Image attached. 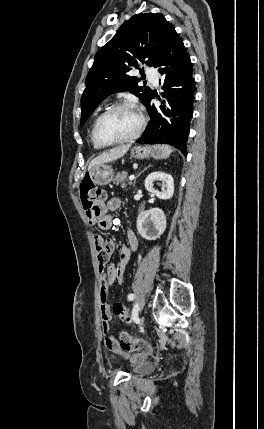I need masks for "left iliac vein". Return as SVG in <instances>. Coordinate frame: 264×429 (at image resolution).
Wrapping results in <instances>:
<instances>
[{"label": "left iliac vein", "mask_w": 264, "mask_h": 429, "mask_svg": "<svg viewBox=\"0 0 264 429\" xmlns=\"http://www.w3.org/2000/svg\"><path fill=\"white\" fill-rule=\"evenodd\" d=\"M139 321H140V325L142 326L143 324H144V322H145V319H144V316L141 314L140 316H139Z\"/></svg>", "instance_id": "1"}]
</instances>
